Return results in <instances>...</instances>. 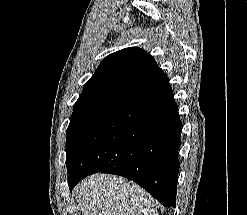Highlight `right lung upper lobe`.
<instances>
[{"mask_svg":"<svg viewBox=\"0 0 247 215\" xmlns=\"http://www.w3.org/2000/svg\"><path fill=\"white\" fill-rule=\"evenodd\" d=\"M155 68V59L144 50L131 47L107 56L94 75L86 82L83 92L132 88L147 77Z\"/></svg>","mask_w":247,"mask_h":215,"instance_id":"right-lung-upper-lobe-1","label":"right lung upper lobe"}]
</instances>
